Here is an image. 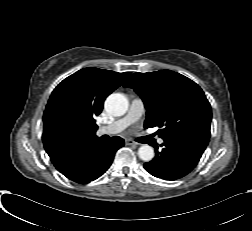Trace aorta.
I'll return each mask as SVG.
<instances>
[{"mask_svg": "<svg viewBox=\"0 0 252 231\" xmlns=\"http://www.w3.org/2000/svg\"><path fill=\"white\" fill-rule=\"evenodd\" d=\"M104 107L109 115L122 116L128 109V100L123 94L112 93L105 100ZM138 156L141 160L149 162L154 158V149L144 144L138 149Z\"/></svg>", "mask_w": 252, "mask_h": 231, "instance_id": "obj_1", "label": "aorta"}]
</instances>
